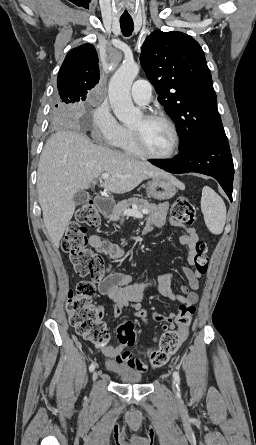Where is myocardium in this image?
<instances>
[{
    "instance_id": "obj_1",
    "label": "myocardium",
    "mask_w": 256,
    "mask_h": 445,
    "mask_svg": "<svg viewBox=\"0 0 256 445\" xmlns=\"http://www.w3.org/2000/svg\"><path fill=\"white\" fill-rule=\"evenodd\" d=\"M143 118L145 121H162V122L166 123L169 126V128L171 129V132L173 135V145H172L171 150L166 154H163V155L154 154L146 148L140 132L130 128V133H131L134 145H135L136 149L138 150V152L147 158L155 159V160H166V159L172 158L177 153L179 146H180V136H179V132H178V129H177L175 123L166 115L158 114V113L145 114V115H143Z\"/></svg>"
}]
</instances>
